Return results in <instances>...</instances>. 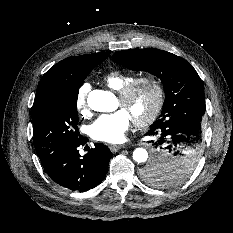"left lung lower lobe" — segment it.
<instances>
[{"instance_id": "obj_1", "label": "left lung lower lobe", "mask_w": 233, "mask_h": 233, "mask_svg": "<svg viewBox=\"0 0 233 233\" xmlns=\"http://www.w3.org/2000/svg\"><path fill=\"white\" fill-rule=\"evenodd\" d=\"M146 135L157 137L152 141L157 149L152 163L164 164L171 158L185 154L200 155L202 152L201 121L196 117H182L151 126ZM166 155L162 159V155Z\"/></svg>"}]
</instances>
